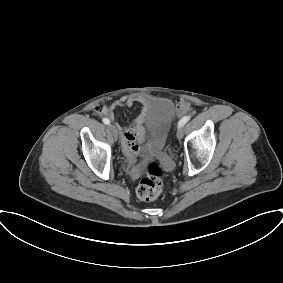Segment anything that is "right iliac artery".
Wrapping results in <instances>:
<instances>
[{"label": "right iliac artery", "instance_id": "right-iliac-artery-1", "mask_svg": "<svg viewBox=\"0 0 283 283\" xmlns=\"http://www.w3.org/2000/svg\"><path fill=\"white\" fill-rule=\"evenodd\" d=\"M102 121H103V123L106 124V125L110 124V121H109V119H107V118H103Z\"/></svg>", "mask_w": 283, "mask_h": 283}]
</instances>
